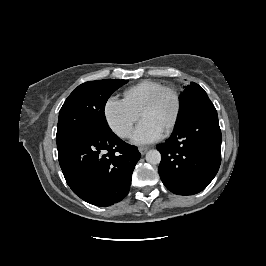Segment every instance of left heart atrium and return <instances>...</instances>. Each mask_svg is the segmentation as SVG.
<instances>
[{"mask_svg":"<svg viewBox=\"0 0 266 266\" xmlns=\"http://www.w3.org/2000/svg\"><path fill=\"white\" fill-rule=\"evenodd\" d=\"M163 128L150 119H142L133 132L136 144H149L162 137Z\"/></svg>","mask_w":266,"mask_h":266,"instance_id":"left-heart-atrium-1","label":"left heart atrium"}]
</instances>
